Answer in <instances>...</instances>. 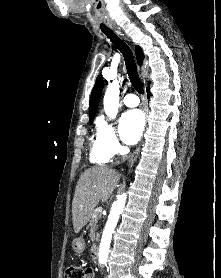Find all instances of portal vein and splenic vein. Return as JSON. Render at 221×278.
I'll return each instance as SVG.
<instances>
[{"label": "portal vein and splenic vein", "mask_w": 221, "mask_h": 278, "mask_svg": "<svg viewBox=\"0 0 221 278\" xmlns=\"http://www.w3.org/2000/svg\"><path fill=\"white\" fill-rule=\"evenodd\" d=\"M96 211L99 213V215H101L102 208H99V209H97Z\"/></svg>", "instance_id": "18ae733b"}]
</instances>
